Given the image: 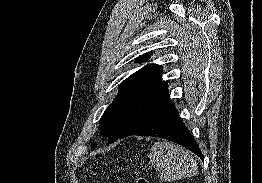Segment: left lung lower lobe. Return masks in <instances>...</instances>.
<instances>
[{"instance_id":"left-lung-lower-lobe-1","label":"left lung lower lobe","mask_w":262,"mask_h":183,"mask_svg":"<svg viewBox=\"0 0 262 183\" xmlns=\"http://www.w3.org/2000/svg\"><path fill=\"white\" fill-rule=\"evenodd\" d=\"M132 135L160 137L184 146L203 160V155L174 104L168 99L150 117L147 123Z\"/></svg>"}]
</instances>
